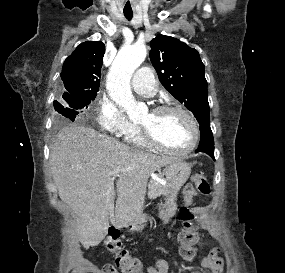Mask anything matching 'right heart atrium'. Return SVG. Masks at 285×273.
Instances as JSON below:
<instances>
[{
	"label": "right heart atrium",
	"mask_w": 285,
	"mask_h": 273,
	"mask_svg": "<svg viewBox=\"0 0 285 273\" xmlns=\"http://www.w3.org/2000/svg\"><path fill=\"white\" fill-rule=\"evenodd\" d=\"M97 122L105 132L118 137H128L138 128L131 123L111 102L102 99L97 108Z\"/></svg>",
	"instance_id": "right-heart-atrium-1"
}]
</instances>
